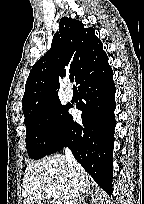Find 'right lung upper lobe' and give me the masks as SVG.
I'll return each instance as SVG.
<instances>
[{
    "instance_id": "obj_1",
    "label": "right lung upper lobe",
    "mask_w": 144,
    "mask_h": 204,
    "mask_svg": "<svg viewBox=\"0 0 144 204\" xmlns=\"http://www.w3.org/2000/svg\"><path fill=\"white\" fill-rule=\"evenodd\" d=\"M108 57L94 28H85L75 19L63 17L51 48L32 67L22 98L23 114L28 116L43 105L58 98L59 78L75 75L76 83Z\"/></svg>"
}]
</instances>
